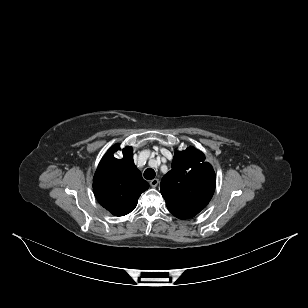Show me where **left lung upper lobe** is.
Listing matches in <instances>:
<instances>
[{
    "label": "left lung upper lobe",
    "mask_w": 308,
    "mask_h": 308,
    "mask_svg": "<svg viewBox=\"0 0 308 308\" xmlns=\"http://www.w3.org/2000/svg\"><path fill=\"white\" fill-rule=\"evenodd\" d=\"M216 177L204 154L194 147L177 151L172 170L163 176L160 191L168 210L179 219H189L207 206Z\"/></svg>",
    "instance_id": "5c2ea615"
}]
</instances>
